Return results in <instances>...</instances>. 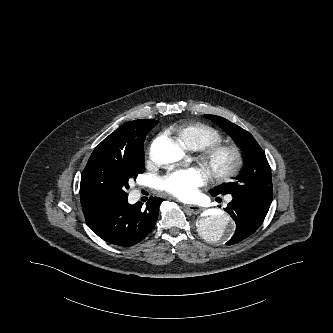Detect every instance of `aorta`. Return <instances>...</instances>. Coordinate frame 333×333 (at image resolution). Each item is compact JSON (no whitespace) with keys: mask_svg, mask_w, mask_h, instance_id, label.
<instances>
[{"mask_svg":"<svg viewBox=\"0 0 333 333\" xmlns=\"http://www.w3.org/2000/svg\"><path fill=\"white\" fill-rule=\"evenodd\" d=\"M150 154L155 162L168 164L179 161L183 151L170 139H158L151 146ZM199 230L206 239L225 241L231 237L234 228L227 213L213 210L200 219Z\"/></svg>","mask_w":333,"mask_h":333,"instance_id":"1","label":"aorta"}]
</instances>
